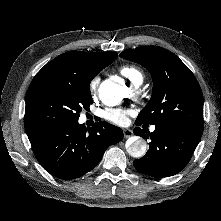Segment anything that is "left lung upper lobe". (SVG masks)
Returning a JSON list of instances; mask_svg holds the SVG:
<instances>
[{
  "instance_id": "left-lung-upper-lobe-1",
  "label": "left lung upper lobe",
  "mask_w": 221,
  "mask_h": 221,
  "mask_svg": "<svg viewBox=\"0 0 221 221\" xmlns=\"http://www.w3.org/2000/svg\"><path fill=\"white\" fill-rule=\"evenodd\" d=\"M119 56L141 64L152 76V97L136 123L203 132L201 88L193 73L175 54L159 46H140L125 50Z\"/></svg>"
}]
</instances>
